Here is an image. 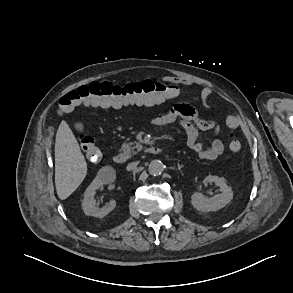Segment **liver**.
I'll list each match as a JSON object with an SVG mask.
<instances>
[{
  "label": "liver",
  "instance_id": "6515ba94",
  "mask_svg": "<svg viewBox=\"0 0 293 293\" xmlns=\"http://www.w3.org/2000/svg\"><path fill=\"white\" fill-rule=\"evenodd\" d=\"M87 174V163L66 121L57 130L55 142V186L61 200L68 198Z\"/></svg>",
  "mask_w": 293,
  "mask_h": 293
}]
</instances>
